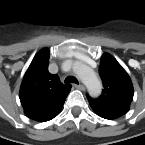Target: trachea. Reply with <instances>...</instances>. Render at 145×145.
I'll return each mask as SVG.
<instances>
[{
	"label": "trachea",
	"mask_w": 145,
	"mask_h": 145,
	"mask_svg": "<svg viewBox=\"0 0 145 145\" xmlns=\"http://www.w3.org/2000/svg\"><path fill=\"white\" fill-rule=\"evenodd\" d=\"M68 82H70V83H76V84L79 83L78 80L75 77H73V76L66 77L65 83H68Z\"/></svg>",
	"instance_id": "trachea-1"
}]
</instances>
